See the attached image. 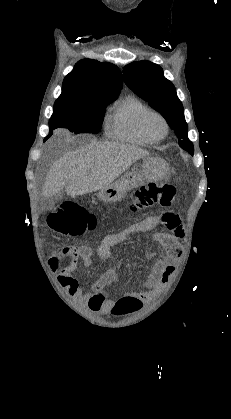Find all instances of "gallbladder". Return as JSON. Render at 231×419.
I'll list each match as a JSON object with an SVG mask.
<instances>
[{"mask_svg": "<svg viewBox=\"0 0 231 419\" xmlns=\"http://www.w3.org/2000/svg\"><path fill=\"white\" fill-rule=\"evenodd\" d=\"M62 198V195L61 194H57V195H55L54 197H53V199L54 200H59V199H61Z\"/></svg>", "mask_w": 231, "mask_h": 419, "instance_id": "bac80fb5", "label": "gallbladder"}]
</instances>
